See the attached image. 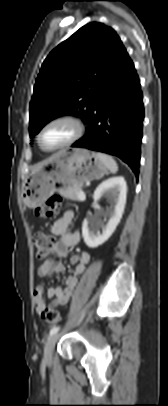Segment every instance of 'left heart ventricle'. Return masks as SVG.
Listing matches in <instances>:
<instances>
[{
	"label": "left heart ventricle",
	"mask_w": 168,
	"mask_h": 406,
	"mask_svg": "<svg viewBox=\"0 0 168 406\" xmlns=\"http://www.w3.org/2000/svg\"><path fill=\"white\" fill-rule=\"evenodd\" d=\"M73 134V127L68 123H56L48 126L42 133V143L47 148H54L65 143Z\"/></svg>",
	"instance_id": "b2bd125f"
}]
</instances>
